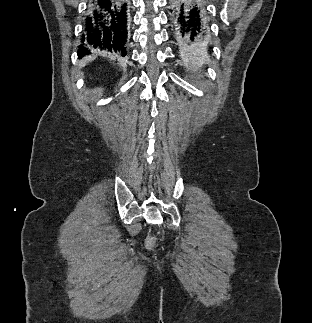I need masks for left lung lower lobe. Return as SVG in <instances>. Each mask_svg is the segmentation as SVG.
<instances>
[{
    "label": "left lung lower lobe",
    "instance_id": "obj_1",
    "mask_svg": "<svg viewBox=\"0 0 312 323\" xmlns=\"http://www.w3.org/2000/svg\"><path fill=\"white\" fill-rule=\"evenodd\" d=\"M170 13L173 35L183 54L203 55L211 51L205 0H174Z\"/></svg>",
    "mask_w": 312,
    "mask_h": 323
}]
</instances>
